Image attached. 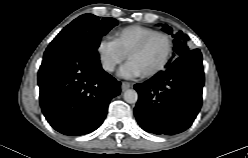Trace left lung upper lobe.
I'll use <instances>...</instances> for the list:
<instances>
[{
	"mask_svg": "<svg viewBox=\"0 0 248 158\" xmlns=\"http://www.w3.org/2000/svg\"><path fill=\"white\" fill-rule=\"evenodd\" d=\"M162 30L168 34H171L172 37L174 38V51L176 52L177 57L190 51L187 45V41L189 40V37L186 34H184L182 31L173 34L172 29L167 25H164ZM170 64L171 62L168 63V65Z\"/></svg>",
	"mask_w": 248,
	"mask_h": 158,
	"instance_id": "left-lung-upper-lobe-1",
	"label": "left lung upper lobe"
}]
</instances>
